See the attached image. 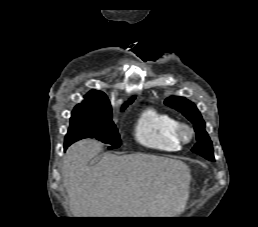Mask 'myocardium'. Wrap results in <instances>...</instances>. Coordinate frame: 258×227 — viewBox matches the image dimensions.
<instances>
[{
    "label": "myocardium",
    "mask_w": 258,
    "mask_h": 227,
    "mask_svg": "<svg viewBox=\"0 0 258 227\" xmlns=\"http://www.w3.org/2000/svg\"><path fill=\"white\" fill-rule=\"evenodd\" d=\"M175 136L180 143L187 144L193 140L195 131L188 123L178 122L175 127Z\"/></svg>",
    "instance_id": "myocardium-1"
}]
</instances>
